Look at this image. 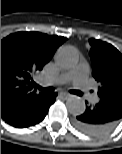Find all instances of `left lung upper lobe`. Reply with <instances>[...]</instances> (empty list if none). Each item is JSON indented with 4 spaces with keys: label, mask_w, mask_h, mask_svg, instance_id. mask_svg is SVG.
Instances as JSON below:
<instances>
[{
    "label": "left lung upper lobe",
    "mask_w": 122,
    "mask_h": 154,
    "mask_svg": "<svg viewBox=\"0 0 122 154\" xmlns=\"http://www.w3.org/2000/svg\"><path fill=\"white\" fill-rule=\"evenodd\" d=\"M92 75L100 83L98 96L122 94V54L111 44L90 39Z\"/></svg>",
    "instance_id": "1"
}]
</instances>
